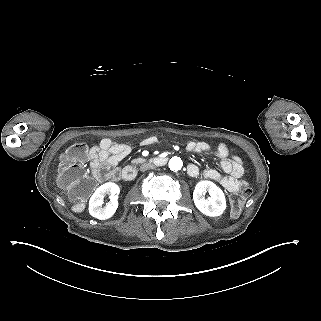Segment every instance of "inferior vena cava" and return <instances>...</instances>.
<instances>
[{"instance_id": "obj_1", "label": "inferior vena cava", "mask_w": 321, "mask_h": 321, "mask_svg": "<svg viewBox=\"0 0 321 321\" xmlns=\"http://www.w3.org/2000/svg\"><path fill=\"white\" fill-rule=\"evenodd\" d=\"M153 168H155L154 164H152V163H144V164L141 165L140 170L141 171H146V170L153 169Z\"/></svg>"}]
</instances>
